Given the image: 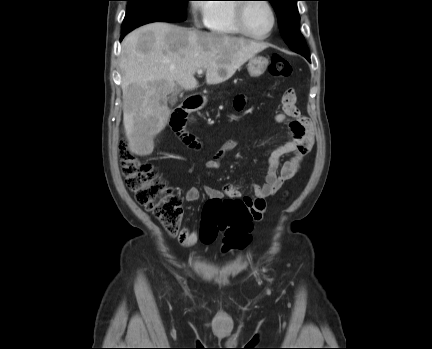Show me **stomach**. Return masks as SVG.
Instances as JSON below:
<instances>
[{
	"label": "stomach",
	"instance_id": "stomach-1",
	"mask_svg": "<svg viewBox=\"0 0 432 349\" xmlns=\"http://www.w3.org/2000/svg\"><path fill=\"white\" fill-rule=\"evenodd\" d=\"M268 66V59L263 56H254L249 59L247 69L251 76L258 77L262 75Z\"/></svg>",
	"mask_w": 432,
	"mask_h": 349
}]
</instances>
